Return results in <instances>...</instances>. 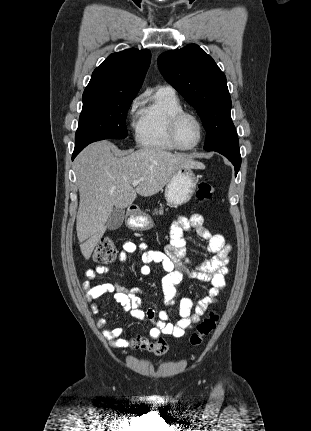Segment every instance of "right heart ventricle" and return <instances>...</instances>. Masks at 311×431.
<instances>
[{
    "label": "right heart ventricle",
    "instance_id": "e07e8e85",
    "mask_svg": "<svg viewBox=\"0 0 311 431\" xmlns=\"http://www.w3.org/2000/svg\"><path fill=\"white\" fill-rule=\"evenodd\" d=\"M185 110L175 91L158 88L150 102L142 108L135 124V141L141 147L157 151H175L170 137V121L174 114Z\"/></svg>",
    "mask_w": 311,
    "mask_h": 431
}]
</instances>
